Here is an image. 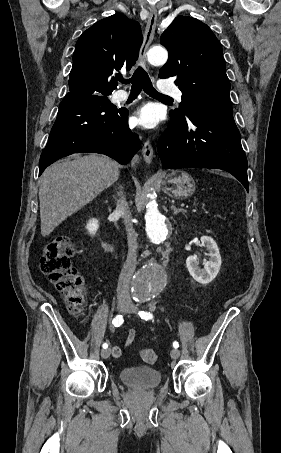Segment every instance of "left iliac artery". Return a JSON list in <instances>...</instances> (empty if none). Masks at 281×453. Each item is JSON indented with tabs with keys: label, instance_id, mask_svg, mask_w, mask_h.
Masks as SVG:
<instances>
[{
	"label": "left iliac artery",
	"instance_id": "1",
	"mask_svg": "<svg viewBox=\"0 0 281 453\" xmlns=\"http://www.w3.org/2000/svg\"><path fill=\"white\" fill-rule=\"evenodd\" d=\"M139 316L141 317V319H145L146 321H147L148 319H152V318H153V316H152V314H150V312L147 313V312H144V311H140V312H139ZM173 347H174L175 349L178 348V347H179L178 342L175 341V342L173 343Z\"/></svg>",
	"mask_w": 281,
	"mask_h": 453
}]
</instances>
